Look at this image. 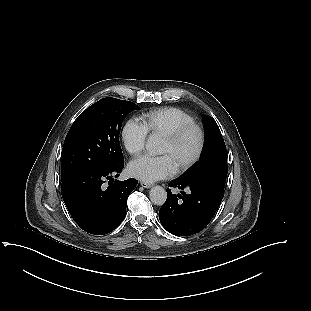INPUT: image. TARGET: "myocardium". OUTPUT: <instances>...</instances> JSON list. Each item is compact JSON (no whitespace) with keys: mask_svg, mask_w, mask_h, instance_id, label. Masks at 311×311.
<instances>
[{"mask_svg":"<svg viewBox=\"0 0 311 311\" xmlns=\"http://www.w3.org/2000/svg\"><path fill=\"white\" fill-rule=\"evenodd\" d=\"M190 132H194L196 135V146L193 153L176 166L177 171L186 170L199 159L204 146V132L197 123L192 122L181 125L172 132L162 136L163 140L167 141L171 145H174Z\"/></svg>","mask_w":311,"mask_h":311,"instance_id":"1","label":"myocardium"}]
</instances>
